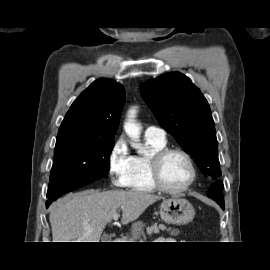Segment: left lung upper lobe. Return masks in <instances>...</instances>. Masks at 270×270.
I'll list each match as a JSON object with an SVG mask.
<instances>
[{
	"label": "left lung upper lobe",
	"instance_id": "obj_1",
	"mask_svg": "<svg viewBox=\"0 0 270 270\" xmlns=\"http://www.w3.org/2000/svg\"><path fill=\"white\" fill-rule=\"evenodd\" d=\"M141 94L160 126L174 136L205 175L221 176L214 121L206 98L180 72L141 85Z\"/></svg>",
	"mask_w": 270,
	"mask_h": 270
}]
</instances>
